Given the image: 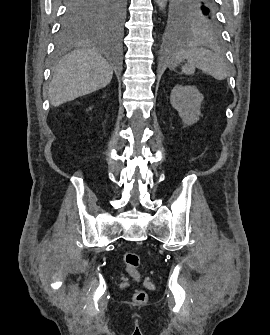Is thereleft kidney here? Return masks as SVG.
<instances>
[{
    "instance_id": "5707ae66",
    "label": "left kidney",
    "mask_w": 270,
    "mask_h": 335,
    "mask_svg": "<svg viewBox=\"0 0 270 335\" xmlns=\"http://www.w3.org/2000/svg\"><path fill=\"white\" fill-rule=\"evenodd\" d=\"M203 94L196 86H175L170 96L171 106L177 110L185 126L198 122Z\"/></svg>"
}]
</instances>
